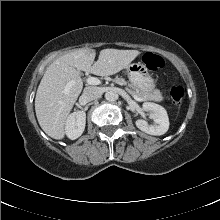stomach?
Here are the masks:
<instances>
[{"label": "stomach", "instance_id": "stomach-1", "mask_svg": "<svg viewBox=\"0 0 220 220\" xmlns=\"http://www.w3.org/2000/svg\"><path fill=\"white\" fill-rule=\"evenodd\" d=\"M126 71L133 87L147 94L159 92L156 89L155 79L142 63H132L126 68Z\"/></svg>", "mask_w": 220, "mask_h": 220}]
</instances>
